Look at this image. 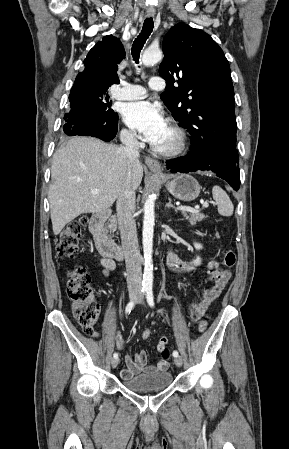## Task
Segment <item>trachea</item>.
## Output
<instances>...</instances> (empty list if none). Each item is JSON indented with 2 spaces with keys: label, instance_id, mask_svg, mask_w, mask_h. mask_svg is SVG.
Returning a JSON list of instances; mask_svg holds the SVG:
<instances>
[{
  "label": "trachea",
  "instance_id": "3493384b",
  "mask_svg": "<svg viewBox=\"0 0 289 449\" xmlns=\"http://www.w3.org/2000/svg\"><path fill=\"white\" fill-rule=\"evenodd\" d=\"M154 22L152 17L146 18L142 27V31L139 34V36L135 39L132 45V56L133 60L138 64L139 63V57L140 52L146 42V40L149 38L151 32L153 31Z\"/></svg>",
  "mask_w": 289,
  "mask_h": 449
}]
</instances>
